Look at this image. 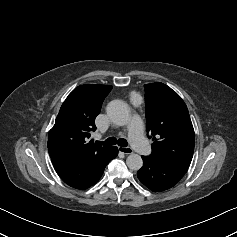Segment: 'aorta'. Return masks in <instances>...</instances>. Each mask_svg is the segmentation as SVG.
<instances>
[{
  "mask_svg": "<svg viewBox=\"0 0 237 237\" xmlns=\"http://www.w3.org/2000/svg\"><path fill=\"white\" fill-rule=\"evenodd\" d=\"M110 120L119 126L126 125L129 121L130 114L126 103L121 100L111 101L106 108ZM126 164L130 170H139L143 166V160L138 154H130L126 159Z\"/></svg>",
  "mask_w": 237,
  "mask_h": 237,
  "instance_id": "obj_1",
  "label": "aorta"
}]
</instances>
